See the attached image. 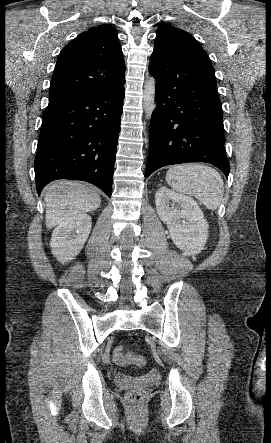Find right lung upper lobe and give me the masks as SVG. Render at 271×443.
Instances as JSON below:
<instances>
[{
    "instance_id": "1",
    "label": "right lung upper lobe",
    "mask_w": 271,
    "mask_h": 443,
    "mask_svg": "<svg viewBox=\"0 0 271 443\" xmlns=\"http://www.w3.org/2000/svg\"><path fill=\"white\" fill-rule=\"evenodd\" d=\"M125 82V63L115 27L90 28L60 52L50 83L49 100L113 88Z\"/></svg>"
}]
</instances>
